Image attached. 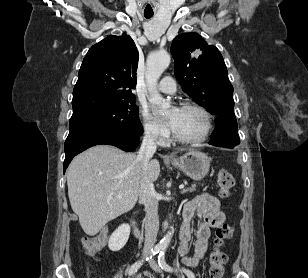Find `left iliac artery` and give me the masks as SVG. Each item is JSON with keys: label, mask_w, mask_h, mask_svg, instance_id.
Masks as SVG:
<instances>
[{"label": "left iliac artery", "mask_w": 308, "mask_h": 278, "mask_svg": "<svg viewBox=\"0 0 308 278\" xmlns=\"http://www.w3.org/2000/svg\"><path fill=\"white\" fill-rule=\"evenodd\" d=\"M158 264L159 266L161 267V269L165 270V271H169V272H173L175 271L171 266H169L166 261H165V249L162 248V250L160 251L159 253V256H158ZM177 271V269H176ZM182 272H184L188 278H195L194 274L190 271V270H187V269H182L181 270Z\"/></svg>", "instance_id": "left-iliac-artery-1"}]
</instances>
